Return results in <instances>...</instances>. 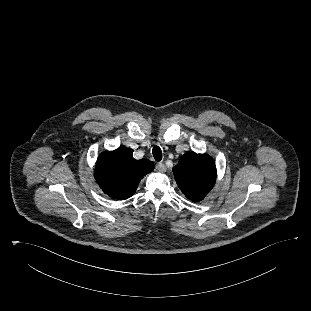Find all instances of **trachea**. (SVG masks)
<instances>
[{"label":"trachea","mask_w":311,"mask_h":311,"mask_svg":"<svg viewBox=\"0 0 311 311\" xmlns=\"http://www.w3.org/2000/svg\"><path fill=\"white\" fill-rule=\"evenodd\" d=\"M152 153L156 161L159 162L162 160V151L159 146H154L152 149Z\"/></svg>","instance_id":"obj_1"}]
</instances>
